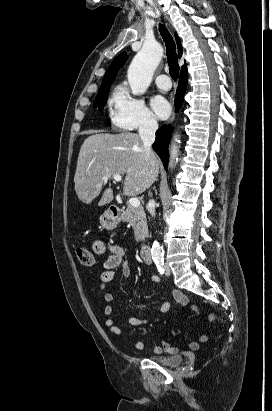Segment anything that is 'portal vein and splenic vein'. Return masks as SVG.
Listing matches in <instances>:
<instances>
[{
  "mask_svg": "<svg viewBox=\"0 0 272 411\" xmlns=\"http://www.w3.org/2000/svg\"><path fill=\"white\" fill-rule=\"evenodd\" d=\"M108 179H109V175L103 177L104 181H108ZM113 179L115 181L120 182L122 180V176L120 174H115V175H113ZM129 204L131 206L137 208V207L140 206V201H139L138 198L132 197V198L129 199Z\"/></svg>",
  "mask_w": 272,
  "mask_h": 411,
  "instance_id": "18ae733b",
  "label": "portal vein and splenic vein"
}]
</instances>
